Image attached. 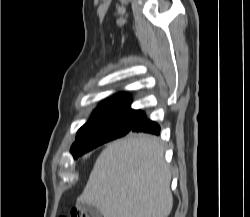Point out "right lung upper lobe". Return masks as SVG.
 <instances>
[{
	"mask_svg": "<svg viewBox=\"0 0 250 217\" xmlns=\"http://www.w3.org/2000/svg\"><path fill=\"white\" fill-rule=\"evenodd\" d=\"M131 103L130 97L125 93H119L118 95L114 96L112 99L105 101L104 103L100 104V106L94 111L93 114L116 110L121 108H129Z\"/></svg>",
	"mask_w": 250,
	"mask_h": 217,
	"instance_id": "obj_1",
	"label": "right lung upper lobe"
}]
</instances>
